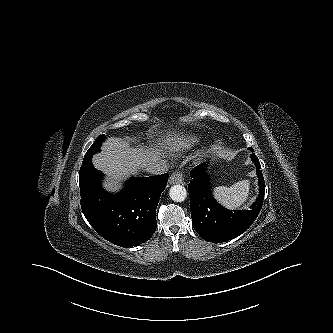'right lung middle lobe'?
<instances>
[{
  "label": "right lung middle lobe",
  "instance_id": "right-lung-middle-lobe-1",
  "mask_svg": "<svg viewBox=\"0 0 333 333\" xmlns=\"http://www.w3.org/2000/svg\"><path fill=\"white\" fill-rule=\"evenodd\" d=\"M105 135H100L96 140L95 142L92 144V146L89 148V150L86 152L85 154V157H84V160H83V163H82V166H81V169L80 171L82 170H86L87 167L90 166V161H91V157L93 154H95L96 152H99L100 151V146H101V143L105 140Z\"/></svg>",
  "mask_w": 333,
  "mask_h": 333
}]
</instances>
